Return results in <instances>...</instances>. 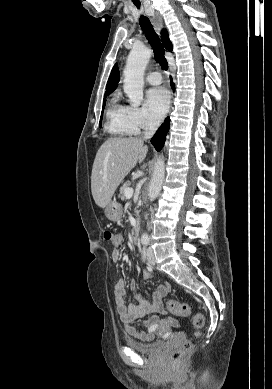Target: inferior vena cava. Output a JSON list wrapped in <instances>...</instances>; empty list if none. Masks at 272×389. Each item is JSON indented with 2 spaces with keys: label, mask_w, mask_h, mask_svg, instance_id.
I'll return each instance as SVG.
<instances>
[{
  "label": "inferior vena cava",
  "mask_w": 272,
  "mask_h": 389,
  "mask_svg": "<svg viewBox=\"0 0 272 389\" xmlns=\"http://www.w3.org/2000/svg\"><path fill=\"white\" fill-rule=\"evenodd\" d=\"M159 124L160 122L157 120H150L145 127L144 138L145 139L151 138L154 135L155 131L157 130Z\"/></svg>",
  "instance_id": "602c4592"
}]
</instances>
